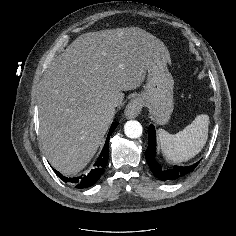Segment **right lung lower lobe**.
Returning <instances> with one entry per match:
<instances>
[{
    "label": "right lung lower lobe",
    "mask_w": 236,
    "mask_h": 236,
    "mask_svg": "<svg viewBox=\"0 0 236 236\" xmlns=\"http://www.w3.org/2000/svg\"><path fill=\"white\" fill-rule=\"evenodd\" d=\"M117 125L118 122L112 123L103 150L100 156L98 157L97 161L95 162L93 169L87 175L68 178L63 176L60 172L54 170L55 173L59 176V178H61L65 183H68L71 186L79 189L87 188L94 185L99 180L107 164L109 156V138L113 133V131L115 130V128L117 127Z\"/></svg>",
    "instance_id": "right-lung-lower-lobe-1"
}]
</instances>
